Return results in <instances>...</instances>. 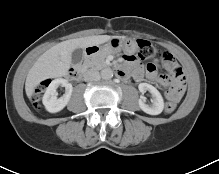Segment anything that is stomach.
Masks as SVG:
<instances>
[{"label": "stomach", "instance_id": "1", "mask_svg": "<svg viewBox=\"0 0 219 174\" xmlns=\"http://www.w3.org/2000/svg\"><path fill=\"white\" fill-rule=\"evenodd\" d=\"M99 51L135 53L138 50V45L135 40L128 38H112L103 46H96Z\"/></svg>", "mask_w": 219, "mask_h": 174}]
</instances>
